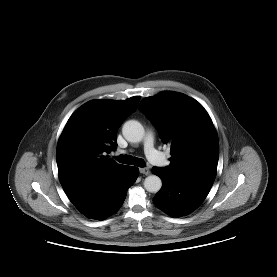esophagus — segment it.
Segmentation results:
<instances>
[{
    "label": "esophagus",
    "instance_id": "1",
    "mask_svg": "<svg viewBox=\"0 0 277 277\" xmlns=\"http://www.w3.org/2000/svg\"><path fill=\"white\" fill-rule=\"evenodd\" d=\"M140 173H142L144 175H149L150 174V170L147 167H143V168H140Z\"/></svg>",
    "mask_w": 277,
    "mask_h": 277
}]
</instances>
